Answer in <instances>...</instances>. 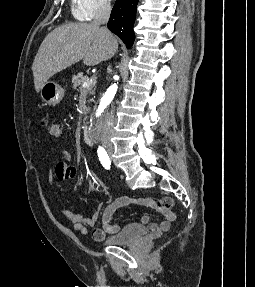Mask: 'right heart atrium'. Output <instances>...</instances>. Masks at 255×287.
Segmentation results:
<instances>
[{"instance_id": "obj_1", "label": "right heart atrium", "mask_w": 255, "mask_h": 287, "mask_svg": "<svg viewBox=\"0 0 255 287\" xmlns=\"http://www.w3.org/2000/svg\"><path fill=\"white\" fill-rule=\"evenodd\" d=\"M61 48H75V47H61Z\"/></svg>"}]
</instances>
